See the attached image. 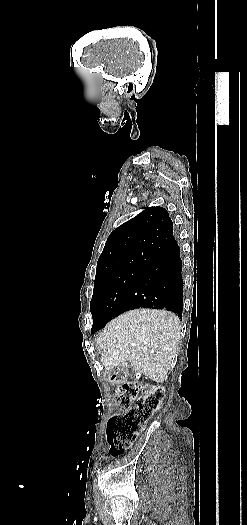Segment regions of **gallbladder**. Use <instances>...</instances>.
<instances>
[{"instance_id": "obj_1", "label": "gallbladder", "mask_w": 247, "mask_h": 525, "mask_svg": "<svg viewBox=\"0 0 247 525\" xmlns=\"http://www.w3.org/2000/svg\"><path fill=\"white\" fill-rule=\"evenodd\" d=\"M128 372H129L130 374H134V373L136 372V369H135L134 367H130V368L128 369Z\"/></svg>"}]
</instances>
